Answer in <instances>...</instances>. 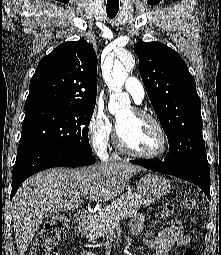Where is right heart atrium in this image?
I'll use <instances>...</instances> for the list:
<instances>
[{
	"mask_svg": "<svg viewBox=\"0 0 221 255\" xmlns=\"http://www.w3.org/2000/svg\"><path fill=\"white\" fill-rule=\"evenodd\" d=\"M87 132L92 149L98 156H105L113 135V124L103 108L93 110Z\"/></svg>",
	"mask_w": 221,
	"mask_h": 255,
	"instance_id": "d8ad5b80",
	"label": "right heart atrium"
}]
</instances>
